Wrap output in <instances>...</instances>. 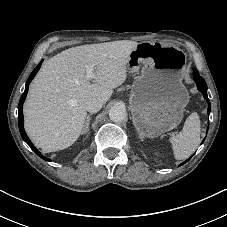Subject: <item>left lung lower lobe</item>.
<instances>
[{"label":"left lung lower lobe","instance_id":"obj_1","mask_svg":"<svg viewBox=\"0 0 227 227\" xmlns=\"http://www.w3.org/2000/svg\"><path fill=\"white\" fill-rule=\"evenodd\" d=\"M197 72L198 71L196 69H194V81L197 84L198 90L203 94L205 100L208 102V115H209L211 107H210V101L207 96V85H206L205 80ZM189 159H187L186 161L181 163L179 166L185 164Z\"/></svg>","mask_w":227,"mask_h":227}]
</instances>
